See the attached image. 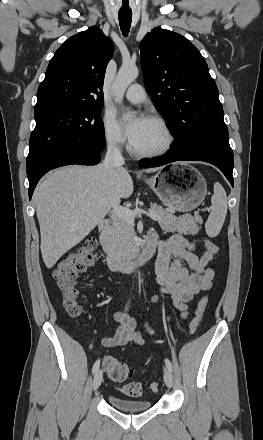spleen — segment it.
<instances>
[{
    "instance_id": "3e777b00",
    "label": "spleen",
    "mask_w": 263,
    "mask_h": 440,
    "mask_svg": "<svg viewBox=\"0 0 263 440\" xmlns=\"http://www.w3.org/2000/svg\"><path fill=\"white\" fill-rule=\"evenodd\" d=\"M212 211L205 223V230L209 237H216L223 226L227 215V195L219 182L214 184V194L211 197Z\"/></svg>"
}]
</instances>
